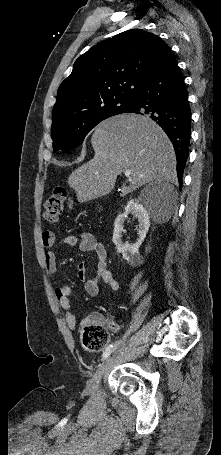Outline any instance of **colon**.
Segmentation results:
<instances>
[{
    "label": "colon",
    "mask_w": 221,
    "mask_h": 455,
    "mask_svg": "<svg viewBox=\"0 0 221 455\" xmlns=\"http://www.w3.org/2000/svg\"><path fill=\"white\" fill-rule=\"evenodd\" d=\"M66 191L64 188H56L46 199L43 205V216L49 223H56L64 208ZM117 326L110 321L104 325L95 318L86 319L82 323V346L90 352L102 351L109 339V330H116Z\"/></svg>",
    "instance_id": "obj_1"
}]
</instances>
